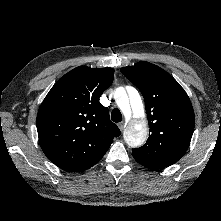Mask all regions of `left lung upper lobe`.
Wrapping results in <instances>:
<instances>
[{"label":"left lung upper lobe","instance_id":"obj_1","mask_svg":"<svg viewBox=\"0 0 221 221\" xmlns=\"http://www.w3.org/2000/svg\"><path fill=\"white\" fill-rule=\"evenodd\" d=\"M145 100L149 137L133 149V157L168 167L185 154L194 131L195 116L187 93L165 70L146 61L120 69Z\"/></svg>","mask_w":221,"mask_h":221}]
</instances>
